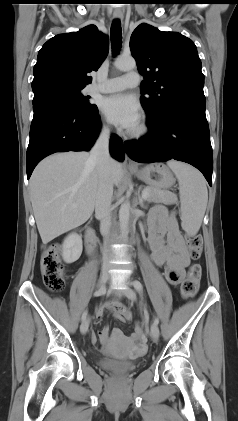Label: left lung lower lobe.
Returning a JSON list of instances; mask_svg holds the SVG:
<instances>
[{"instance_id": "0a47b994", "label": "left lung lower lobe", "mask_w": 238, "mask_h": 421, "mask_svg": "<svg viewBox=\"0 0 238 421\" xmlns=\"http://www.w3.org/2000/svg\"><path fill=\"white\" fill-rule=\"evenodd\" d=\"M205 97H189L168 106L147 125L150 132L127 142V154L140 163L170 159L189 163L199 169L212 185L213 154L205 115Z\"/></svg>"}]
</instances>
